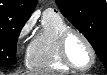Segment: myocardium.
<instances>
[{
    "label": "myocardium",
    "mask_w": 107,
    "mask_h": 75,
    "mask_svg": "<svg viewBox=\"0 0 107 75\" xmlns=\"http://www.w3.org/2000/svg\"><path fill=\"white\" fill-rule=\"evenodd\" d=\"M71 35L79 36L87 45L91 53V61L87 66L81 67V66L74 64L71 61L68 55V51H67V43ZM58 47H59V54H60L62 62L70 69L77 70V71H87V70H90L96 62V51H95L94 46L92 45L90 40L87 38V36L81 31H79L78 29H74V28L65 29L59 37Z\"/></svg>",
    "instance_id": "1"
}]
</instances>
